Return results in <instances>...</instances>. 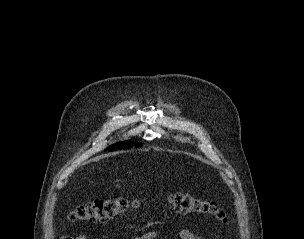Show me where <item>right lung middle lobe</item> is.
<instances>
[{
    "label": "right lung middle lobe",
    "mask_w": 304,
    "mask_h": 239,
    "mask_svg": "<svg viewBox=\"0 0 304 239\" xmlns=\"http://www.w3.org/2000/svg\"><path fill=\"white\" fill-rule=\"evenodd\" d=\"M133 145H136V147H139L142 144H140V143L135 144L133 142H119V143L109 146L106 150L114 151V150L126 149V148H131Z\"/></svg>",
    "instance_id": "right-lung-middle-lobe-1"
}]
</instances>
